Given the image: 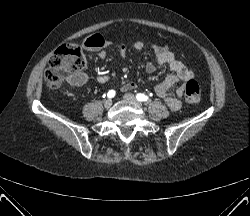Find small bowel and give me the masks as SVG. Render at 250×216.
<instances>
[{
    "label": "small bowel",
    "mask_w": 250,
    "mask_h": 216,
    "mask_svg": "<svg viewBox=\"0 0 250 216\" xmlns=\"http://www.w3.org/2000/svg\"><path fill=\"white\" fill-rule=\"evenodd\" d=\"M109 46L110 43L99 34L91 35L84 41V47L91 51H99L100 58L106 57L107 48ZM143 47V42H137L135 44V48L138 50ZM117 49L120 55L124 56L126 54V47L124 45H119ZM152 49L154 52V59L147 63L146 70L148 72H153L158 67L166 65L170 71L168 77L155 87V92L165 101L167 106L172 111H178L181 107V102L177 97H181L185 93L186 84L193 78V73L173 52L159 45H154ZM87 79L88 76L86 73L78 72L69 78V83L73 86H83L87 82ZM109 79L110 77L106 74H102L97 77V81L99 83H106ZM178 82H180V85H178L175 90L177 97H172L168 94V92ZM123 88L125 90L133 89L135 88V84L127 83Z\"/></svg>",
    "instance_id": "1"
}]
</instances>
